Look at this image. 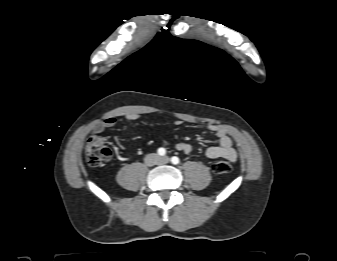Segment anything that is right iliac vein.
I'll return each instance as SVG.
<instances>
[{
	"mask_svg": "<svg viewBox=\"0 0 337 261\" xmlns=\"http://www.w3.org/2000/svg\"><path fill=\"white\" fill-rule=\"evenodd\" d=\"M145 160H146V163L148 165H154V164L158 163L159 158L156 154H150L146 157Z\"/></svg>",
	"mask_w": 337,
	"mask_h": 261,
	"instance_id": "right-iliac-vein-1",
	"label": "right iliac vein"
}]
</instances>
